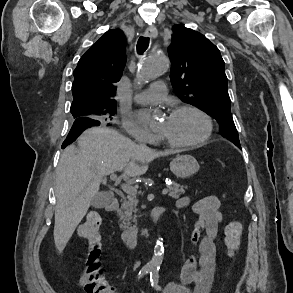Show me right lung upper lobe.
<instances>
[{"label":"right lung upper lobe","instance_id":"right-lung-upper-lobe-1","mask_svg":"<svg viewBox=\"0 0 293 293\" xmlns=\"http://www.w3.org/2000/svg\"><path fill=\"white\" fill-rule=\"evenodd\" d=\"M126 44L120 29L109 30L80 58L73 73L71 110L83 113L116 104L115 83L120 80L125 66ZM94 116L87 113L81 117L95 119Z\"/></svg>","mask_w":293,"mask_h":293}]
</instances>
